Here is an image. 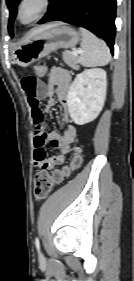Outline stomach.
Instances as JSON below:
<instances>
[{
	"label": "stomach",
	"mask_w": 134,
	"mask_h": 281,
	"mask_svg": "<svg viewBox=\"0 0 134 281\" xmlns=\"http://www.w3.org/2000/svg\"><path fill=\"white\" fill-rule=\"evenodd\" d=\"M79 40V32L72 27L54 24L52 27L21 43L13 51V62L20 67H28L59 48L74 47Z\"/></svg>",
	"instance_id": "obj_1"
}]
</instances>
